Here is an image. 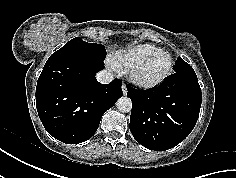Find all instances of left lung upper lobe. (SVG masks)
Masks as SVG:
<instances>
[{
    "label": "left lung upper lobe",
    "instance_id": "5c2ea615",
    "mask_svg": "<svg viewBox=\"0 0 236 178\" xmlns=\"http://www.w3.org/2000/svg\"><path fill=\"white\" fill-rule=\"evenodd\" d=\"M174 71L178 74H195L193 68L180 57L174 66Z\"/></svg>",
    "mask_w": 236,
    "mask_h": 178
}]
</instances>
